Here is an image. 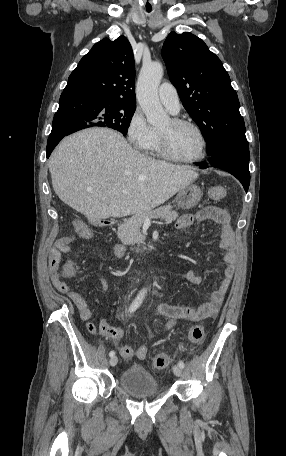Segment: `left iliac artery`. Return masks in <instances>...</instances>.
<instances>
[{"label":"left iliac artery","instance_id":"1","mask_svg":"<svg viewBox=\"0 0 286 456\" xmlns=\"http://www.w3.org/2000/svg\"><path fill=\"white\" fill-rule=\"evenodd\" d=\"M178 366H180L181 368H184L185 364H184L183 361H179V362H178Z\"/></svg>","mask_w":286,"mask_h":456}]
</instances>
